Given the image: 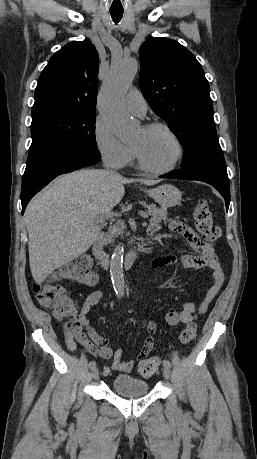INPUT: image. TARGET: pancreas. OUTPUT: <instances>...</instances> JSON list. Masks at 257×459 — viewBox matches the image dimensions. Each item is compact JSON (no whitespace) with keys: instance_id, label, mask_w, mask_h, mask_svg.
<instances>
[{"instance_id":"obj_1","label":"pancreas","mask_w":257,"mask_h":459,"mask_svg":"<svg viewBox=\"0 0 257 459\" xmlns=\"http://www.w3.org/2000/svg\"><path fill=\"white\" fill-rule=\"evenodd\" d=\"M142 205L146 208V212L151 216L152 221L160 222L167 219V209L158 208L155 204H146L142 202ZM125 226L123 222L118 221L113 225H110L106 233V242H112L118 235L123 234Z\"/></svg>"}]
</instances>
